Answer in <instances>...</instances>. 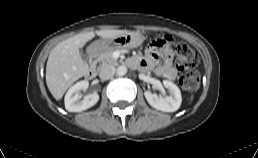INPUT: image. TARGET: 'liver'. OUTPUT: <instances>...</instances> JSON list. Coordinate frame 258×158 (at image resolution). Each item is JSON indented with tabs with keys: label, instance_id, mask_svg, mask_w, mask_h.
Listing matches in <instances>:
<instances>
[{
	"label": "liver",
	"instance_id": "1",
	"mask_svg": "<svg viewBox=\"0 0 258 158\" xmlns=\"http://www.w3.org/2000/svg\"><path fill=\"white\" fill-rule=\"evenodd\" d=\"M126 33V30L80 33L57 44L51 50L46 65V83L52 96L60 100L76 80L89 72L88 64L81 58L80 48L93 39L95 34L108 39Z\"/></svg>",
	"mask_w": 258,
	"mask_h": 158
}]
</instances>
